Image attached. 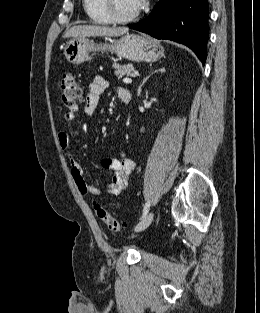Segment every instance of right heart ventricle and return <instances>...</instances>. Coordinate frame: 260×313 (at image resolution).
<instances>
[{"label":"right heart ventricle","mask_w":260,"mask_h":313,"mask_svg":"<svg viewBox=\"0 0 260 313\" xmlns=\"http://www.w3.org/2000/svg\"><path fill=\"white\" fill-rule=\"evenodd\" d=\"M83 8L89 19L96 24H110L111 20L103 7V0H82Z\"/></svg>","instance_id":"right-heart-ventricle-1"}]
</instances>
